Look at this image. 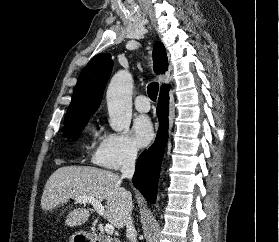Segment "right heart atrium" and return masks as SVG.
<instances>
[{
    "mask_svg": "<svg viewBox=\"0 0 279 242\" xmlns=\"http://www.w3.org/2000/svg\"><path fill=\"white\" fill-rule=\"evenodd\" d=\"M138 156V148L126 133L107 132L92 154V162L98 166L116 170L132 164Z\"/></svg>",
    "mask_w": 279,
    "mask_h": 242,
    "instance_id": "1",
    "label": "right heart atrium"
}]
</instances>
